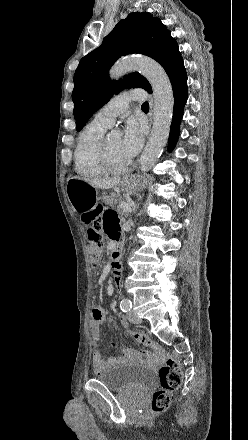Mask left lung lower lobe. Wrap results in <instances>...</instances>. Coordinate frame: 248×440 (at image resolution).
Wrapping results in <instances>:
<instances>
[{"instance_id": "left-lung-lower-lobe-1", "label": "left lung lower lobe", "mask_w": 248, "mask_h": 440, "mask_svg": "<svg viewBox=\"0 0 248 440\" xmlns=\"http://www.w3.org/2000/svg\"><path fill=\"white\" fill-rule=\"evenodd\" d=\"M174 93L173 120L170 129L168 148L172 150L179 136V125L183 116V107L187 101V76L174 79L172 82Z\"/></svg>"}]
</instances>
